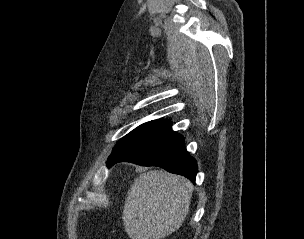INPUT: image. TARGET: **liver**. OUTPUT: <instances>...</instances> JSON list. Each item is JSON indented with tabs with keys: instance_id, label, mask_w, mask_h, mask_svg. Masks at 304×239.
Returning <instances> with one entry per match:
<instances>
[{
	"instance_id": "1",
	"label": "liver",
	"mask_w": 304,
	"mask_h": 239,
	"mask_svg": "<svg viewBox=\"0 0 304 239\" xmlns=\"http://www.w3.org/2000/svg\"><path fill=\"white\" fill-rule=\"evenodd\" d=\"M186 178L162 170L140 174L125 199L122 219L131 239H161L180 228L192 197Z\"/></svg>"
}]
</instances>
